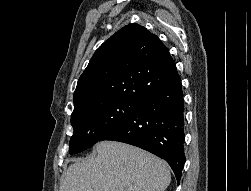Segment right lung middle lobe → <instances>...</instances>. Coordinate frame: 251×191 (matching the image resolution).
<instances>
[{
	"label": "right lung middle lobe",
	"instance_id": "obj_1",
	"mask_svg": "<svg viewBox=\"0 0 251 191\" xmlns=\"http://www.w3.org/2000/svg\"><path fill=\"white\" fill-rule=\"evenodd\" d=\"M139 103L111 101L74 110L71 124L74 129L70 140L69 153L86 150L127 119Z\"/></svg>",
	"mask_w": 251,
	"mask_h": 191
}]
</instances>
